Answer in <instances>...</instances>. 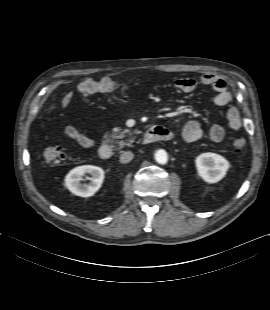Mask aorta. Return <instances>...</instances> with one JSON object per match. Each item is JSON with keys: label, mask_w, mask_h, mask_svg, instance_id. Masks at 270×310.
Wrapping results in <instances>:
<instances>
[{"label": "aorta", "mask_w": 270, "mask_h": 310, "mask_svg": "<svg viewBox=\"0 0 270 310\" xmlns=\"http://www.w3.org/2000/svg\"><path fill=\"white\" fill-rule=\"evenodd\" d=\"M155 160L159 163V164H166L168 161V154L165 150H158L155 153Z\"/></svg>", "instance_id": "obj_1"}]
</instances>
